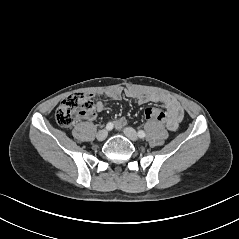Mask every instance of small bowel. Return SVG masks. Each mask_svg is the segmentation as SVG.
Instances as JSON below:
<instances>
[{
  "instance_id": "1",
  "label": "small bowel",
  "mask_w": 239,
  "mask_h": 239,
  "mask_svg": "<svg viewBox=\"0 0 239 239\" xmlns=\"http://www.w3.org/2000/svg\"><path fill=\"white\" fill-rule=\"evenodd\" d=\"M125 95L129 98H132L137 101L139 104H145L148 102L153 103H161L166 108V114L164 123L166 127L171 130L175 131L180 122L183 119L184 111L180 103L173 97L169 95L159 94V93H141L135 90H128L125 92ZM92 96V94H90ZM107 96L113 100H120L122 97V92L118 89L111 90L107 92ZM95 110L97 112H104L107 110V107L102 102H97L95 105ZM95 114L92 113L88 115V119H94ZM126 124L125 118H119L114 121V126L116 129H122Z\"/></svg>"
}]
</instances>
